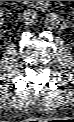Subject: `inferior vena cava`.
Here are the masks:
<instances>
[{
    "mask_svg": "<svg viewBox=\"0 0 74 122\" xmlns=\"http://www.w3.org/2000/svg\"><path fill=\"white\" fill-rule=\"evenodd\" d=\"M36 13L30 10H25L22 13V20L27 24V25H33L36 21Z\"/></svg>",
    "mask_w": 74,
    "mask_h": 122,
    "instance_id": "1",
    "label": "inferior vena cava"
}]
</instances>
